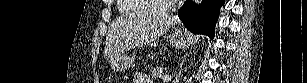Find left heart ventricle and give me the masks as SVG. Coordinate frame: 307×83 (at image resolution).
Instances as JSON below:
<instances>
[{"instance_id":"1","label":"left heart ventricle","mask_w":307,"mask_h":83,"mask_svg":"<svg viewBox=\"0 0 307 83\" xmlns=\"http://www.w3.org/2000/svg\"><path fill=\"white\" fill-rule=\"evenodd\" d=\"M168 2H170L169 0H164V1H160V3H162V4H166V3H168Z\"/></svg>"}]
</instances>
